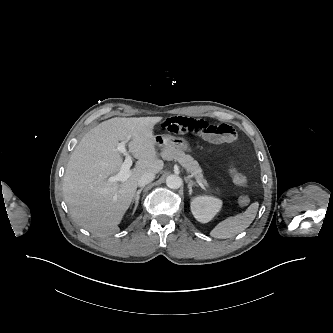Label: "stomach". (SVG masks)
<instances>
[{
	"label": "stomach",
	"instance_id": "1",
	"mask_svg": "<svg viewBox=\"0 0 333 333\" xmlns=\"http://www.w3.org/2000/svg\"><path fill=\"white\" fill-rule=\"evenodd\" d=\"M156 145L161 147L162 149L168 148V147H175L179 150H187L188 144L183 138H177L173 137L171 135L165 134V135H158L156 136Z\"/></svg>",
	"mask_w": 333,
	"mask_h": 333
}]
</instances>
